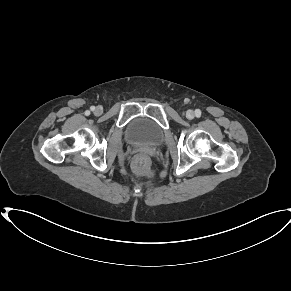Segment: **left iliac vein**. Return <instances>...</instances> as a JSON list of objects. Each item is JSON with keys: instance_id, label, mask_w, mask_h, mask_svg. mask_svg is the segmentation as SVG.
<instances>
[{"instance_id": "left-iliac-vein-1", "label": "left iliac vein", "mask_w": 291, "mask_h": 291, "mask_svg": "<svg viewBox=\"0 0 291 291\" xmlns=\"http://www.w3.org/2000/svg\"><path fill=\"white\" fill-rule=\"evenodd\" d=\"M186 117H187L188 119L192 120V119L195 117V113H194V111H192V110H188V111L186 112Z\"/></svg>"}]
</instances>
